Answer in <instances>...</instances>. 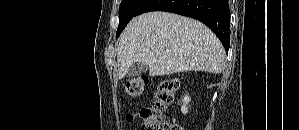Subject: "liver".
Wrapping results in <instances>:
<instances>
[{
    "mask_svg": "<svg viewBox=\"0 0 299 130\" xmlns=\"http://www.w3.org/2000/svg\"><path fill=\"white\" fill-rule=\"evenodd\" d=\"M226 54L217 36L201 22L168 12L134 17L119 39L118 77L136 62L150 76L184 71L221 73Z\"/></svg>",
    "mask_w": 299,
    "mask_h": 130,
    "instance_id": "1",
    "label": "liver"
}]
</instances>
